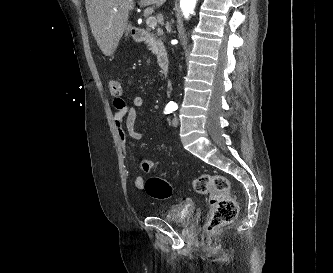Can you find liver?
<instances>
[{
    "instance_id": "liver-1",
    "label": "liver",
    "mask_w": 333,
    "mask_h": 273,
    "mask_svg": "<svg viewBox=\"0 0 333 273\" xmlns=\"http://www.w3.org/2000/svg\"><path fill=\"white\" fill-rule=\"evenodd\" d=\"M166 0H140V6H162ZM85 6L92 34L106 56H111L118 43L131 25L129 12L134 8V0H85ZM116 9V11L114 10Z\"/></svg>"
}]
</instances>
